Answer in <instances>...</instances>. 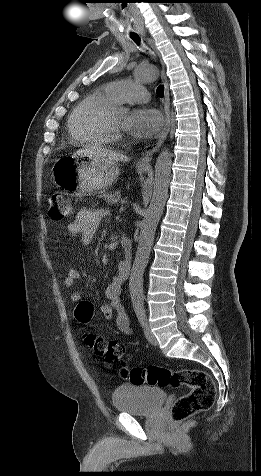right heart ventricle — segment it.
Listing matches in <instances>:
<instances>
[{
	"label": "right heart ventricle",
	"mask_w": 261,
	"mask_h": 476,
	"mask_svg": "<svg viewBox=\"0 0 261 476\" xmlns=\"http://www.w3.org/2000/svg\"><path fill=\"white\" fill-rule=\"evenodd\" d=\"M117 101L104 89L88 94L72 110L68 118V131L79 145H106L115 134L107 127V116Z\"/></svg>",
	"instance_id": "right-heart-ventricle-1"
}]
</instances>
